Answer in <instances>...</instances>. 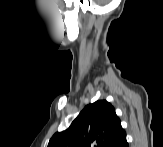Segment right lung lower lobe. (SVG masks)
Returning a JSON list of instances; mask_svg holds the SVG:
<instances>
[{
  "mask_svg": "<svg viewBox=\"0 0 163 147\" xmlns=\"http://www.w3.org/2000/svg\"><path fill=\"white\" fill-rule=\"evenodd\" d=\"M112 147H128V143L126 141V134L121 137Z\"/></svg>",
  "mask_w": 163,
  "mask_h": 147,
  "instance_id": "98d812e1",
  "label": "right lung lower lobe"
}]
</instances>
